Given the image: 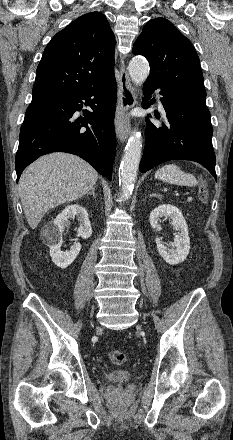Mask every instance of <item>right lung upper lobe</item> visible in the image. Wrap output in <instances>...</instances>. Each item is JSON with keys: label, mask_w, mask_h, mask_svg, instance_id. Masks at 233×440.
<instances>
[{"label": "right lung upper lobe", "mask_w": 233, "mask_h": 440, "mask_svg": "<svg viewBox=\"0 0 233 440\" xmlns=\"http://www.w3.org/2000/svg\"><path fill=\"white\" fill-rule=\"evenodd\" d=\"M115 36L100 12L87 13L58 32L44 50L32 97L80 91L114 76Z\"/></svg>", "instance_id": "right-lung-upper-lobe-1"}]
</instances>
